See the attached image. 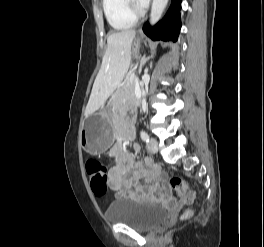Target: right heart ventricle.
Instances as JSON below:
<instances>
[{"mask_svg":"<svg viewBox=\"0 0 264 247\" xmlns=\"http://www.w3.org/2000/svg\"><path fill=\"white\" fill-rule=\"evenodd\" d=\"M103 10L109 24L117 30H125L136 24L128 8L127 0H103Z\"/></svg>","mask_w":264,"mask_h":247,"instance_id":"1","label":"right heart ventricle"}]
</instances>
